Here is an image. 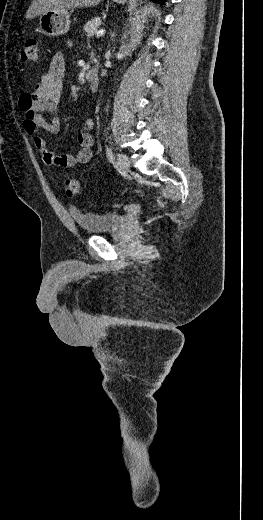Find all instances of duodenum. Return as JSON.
<instances>
[{
	"instance_id": "duodenum-1",
	"label": "duodenum",
	"mask_w": 263,
	"mask_h": 520,
	"mask_svg": "<svg viewBox=\"0 0 263 520\" xmlns=\"http://www.w3.org/2000/svg\"><path fill=\"white\" fill-rule=\"evenodd\" d=\"M87 81L89 83L90 90L96 92L99 88V73L97 68H94L87 74Z\"/></svg>"
}]
</instances>
